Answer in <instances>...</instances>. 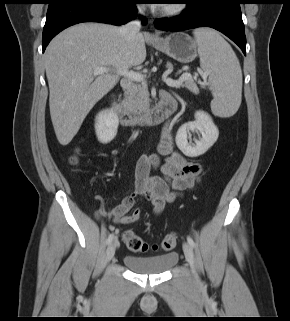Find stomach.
Instances as JSON below:
<instances>
[{
    "instance_id": "0dacf381",
    "label": "stomach",
    "mask_w": 290,
    "mask_h": 321,
    "mask_svg": "<svg viewBox=\"0 0 290 321\" xmlns=\"http://www.w3.org/2000/svg\"><path fill=\"white\" fill-rule=\"evenodd\" d=\"M151 43L155 49L180 63H190L197 57L196 42L182 32L172 33L164 39L158 38Z\"/></svg>"
}]
</instances>
